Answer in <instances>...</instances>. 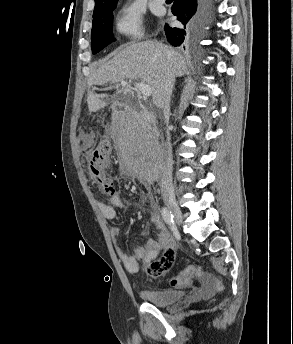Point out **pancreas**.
Instances as JSON below:
<instances>
[{
	"label": "pancreas",
	"mask_w": 293,
	"mask_h": 344,
	"mask_svg": "<svg viewBox=\"0 0 293 344\" xmlns=\"http://www.w3.org/2000/svg\"><path fill=\"white\" fill-rule=\"evenodd\" d=\"M142 134V130L140 129V128H137V129H135V130H131L130 131V137L132 138V139H136L139 135H141Z\"/></svg>",
	"instance_id": "cf45deb5"
}]
</instances>
